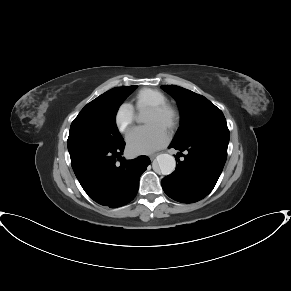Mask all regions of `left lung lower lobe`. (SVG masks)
<instances>
[{"label":"left lung lower lobe","instance_id":"1","mask_svg":"<svg viewBox=\"0 0 291 291\" xmlns=\"http://www.w3.org/2000/svg\"><path fill=\"white\" fill-rule=\"evenodd\" d=\"M229 136L204 138L188 144L171 143L169 148L186 151L184 160L175 156V171L162 179L164 192L182 203H194L214 188L227 158Z\"/></svg>","mask_w":291,"mask_h":291}]
</instances>
